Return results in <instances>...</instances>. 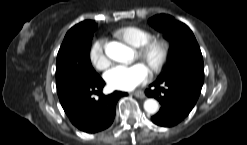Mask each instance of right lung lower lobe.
Returning a JSON list of instances; mask_svg holds the SVG:
<instances>
[{
	"label": "right lung lower lobe",
	"mask_w": 247,
	"mask_h": 145,
	"mask_svg": "<svg viewBox=\"0 0 247 145\" xmlns=\"http://www.w3.org/2000/svg\"><path fill=\"white\" fill-rule=\"evenodd\" d=\"M105 82L101 77L92 80H79L58 88L61 105L70 121L79 130L95 133L108 128L115 117L118 99L127 93L115 91L110 95H100Z\"/></svg>",
	"instance_id": "1"
}]
</instances>
